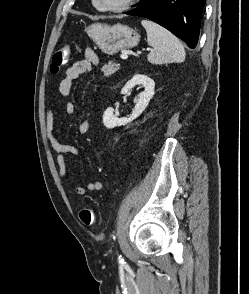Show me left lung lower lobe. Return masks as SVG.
<instances>
[{"label":"left lung lower lobe","mask_w":249,"mask_h":294,"mask_svg":"<svg viewBox=\"0 0 249 294\" xmlns=\"http://www.w3.org/2000/svg\"><path fill=\"white\" fill-rule=\"evenodd\" d=\"M205 2L206 0H141L137 8L126 14L146 17L194 48L198 42Z\"/></svg>","instance_id":"obj_1"}]
</instances>
